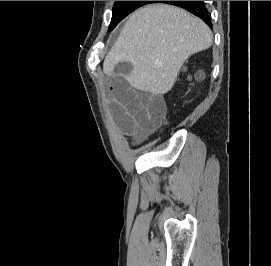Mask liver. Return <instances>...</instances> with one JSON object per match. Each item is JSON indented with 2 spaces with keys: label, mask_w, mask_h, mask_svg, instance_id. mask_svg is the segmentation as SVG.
Returning <instances> with one entry per match:
<instances>
[{
  "label": "liver",
  "mask_w": 271,
  "mask_h": 266,
  "mask_svg": "<svg viewBox=\"0 0 271 266\" xmlns=\"http://www.w3.org/2000/svg\"><path fill=\"white\" fill-rule=\"evenodd\" d=\"M210 28L198 17L166 4L134 12L107 54L103 71L114 75L115 62H132L125 79L143 92H169L184 61L212 44Z\"/></svg>",
  "instance_id": "liver-1"
}]
</instances>
